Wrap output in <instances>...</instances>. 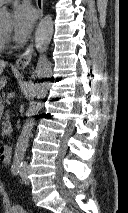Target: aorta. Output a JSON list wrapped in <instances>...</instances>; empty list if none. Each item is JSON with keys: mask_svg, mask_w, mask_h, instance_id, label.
<instances>
[{"mask_svg": "<svg viewBox=\"0 0 128 213\" xmlns=\"http://www.w3.org/2000/svg\"><path fill=\"white\" fill-rule=\"evenodd\" d=\"M9 20V13L6 10L0 9V25L5 24ZM54 32V22L51 15L44 16L35 32V47L39 53L38 62L34 72V76L38 79H48L51 77V63L46 56L49 44ZM50 87L48 81L36 83L31 92L32 101L26 111L28 117L23 125L21 133L17 139L15 146L12 167H21L25 157V153L29 144V138L34 126L33 116L37 115L42 108L43 99Z\"/></svg>", "mask_w": 128, "mask_h": 213, "instance_id": "1", "label": "aorta"}]
</instances>
